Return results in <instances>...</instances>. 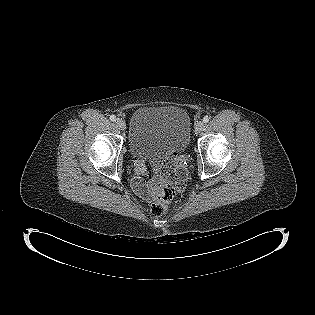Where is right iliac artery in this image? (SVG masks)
<instances>
[{
    "instance_id": "1",
    "label": "right iliac artery",
    "mask_w": 315,
    "mask_h": 315,
    "mask_svg": "<svg viewBox=\"0 0 315 315\" xmlns=\"http://www.w3.org/2000/svg\"><path fill=\"white\" fill-rule=\"evenodd\" d=\"M110 120L113 121V122L116 121V116L115 115H111L110 116Z\"/></svg>"
}]
</instances>
